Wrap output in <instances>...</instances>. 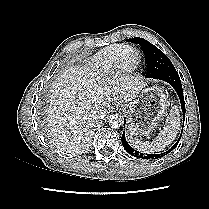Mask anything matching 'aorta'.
<instances>
[{
	"label": "aorta",
	"instance_id": "1",
	"mask_svg": "<svg viewBox=\"0 0 209 209\" xmlns=\"http://www.w3.org/2000/svg\"><path fill=\"white\" fill-rule=\"evenodd\" d=\"M108 123L112 128H120L123 123V117L119 114L110 115L108 118Z\"/></svg>",
	"mask_w": 209,
	"mask_h": 209
}]
</instances>
